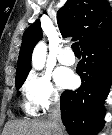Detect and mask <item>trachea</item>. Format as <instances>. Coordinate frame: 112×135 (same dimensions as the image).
Masks as SVG:
<instances>
[{
	"mask_svg": "<svg viewBox=\"0 0 112 135\" xmlns=\"http://www.w3.org/2000/svg\"><path fill=\"white\" fill-rule=\"evenodd\" d=\"M71 47H72L73 52L76 55H81V51H80V47H79L78 42L73 43Z\"/></svg>",
	"mask_w": 112,
	"mask_h": 135,
	"instance_id": "trachea-1",
	"label": "trachea"
}]
</instances>
